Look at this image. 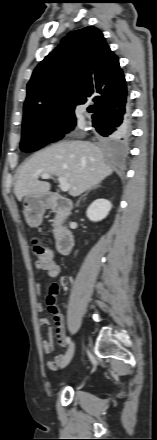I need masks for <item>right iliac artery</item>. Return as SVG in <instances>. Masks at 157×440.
<instances>
[{"instance_id": "right-iliac-artery-1", "label": "right iliac artery", "mask_w": 157, "mask_h": 440, "mask_svg": "<svg viewBox=\"0 0 157 440\" xmlns=\"http://www.w3.org/2000/svg\"><path fill=\"white\" fill-rule=\"evenodd\" d=\"M67 344H68V347L70 348V346L72 344L70 337H67Z\"/></svg>"}]
</instances>
